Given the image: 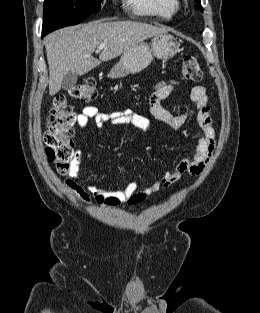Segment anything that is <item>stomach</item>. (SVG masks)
<instances>
[{"instance_id": "obj_1", "label": "stomach", "mask_w": 260, "mask_h": 313, "mask_svg": "<svg viewBox=\"0 0 260 313\" xmlns=\"http://www.w3.org/2000/svg\"><path fill=\"white\" fill-rule=\"evenodd\" d=\"M179 43L176 38L168 33L158 34L149 44L139 43L124 52L108 73L112 79L125 77L128 74H136L144 70L153 60L170 59L179 52Z\"/></svg>"}]
</instances>
